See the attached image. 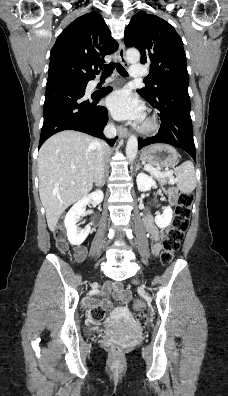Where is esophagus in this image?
<instances>
[{
  "mask_svg": "<svg viewBox=\"0 0 228 396\" xmlns=\"http://www.w3.org/2000/svg\"><path fill=\"white\" fill-rule=\"evenodd\" d=\"M118 56H119L120 62L124 66H128V62L125 58V45L122 42L119 45ZM117 130L121 137L126 138L129 136V130L126 127H124L123 125H118Z\"/></svg>",
  "mask_w": 228,
  "mask_h": 396,
  "instance_id": "obj_1",
  "label": "esophagus"
}]
</instances>
